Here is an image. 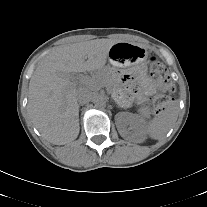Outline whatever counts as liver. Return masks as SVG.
<instances>
[{
    "label": "liver",
    "mask_w": 207,
    "mask_h": 207,
    "mask_svg": "<svg viewBox=\"0 0 207 207\" xmlns=\"http://www.w3.org/2000/svg\"><path fill=\"white\" fill-rule=\"evenodd\" d=\"M116 43L111 39H95L60 46L38 63L29 83L27 110L46 141L63 145L78 137L77 91L91 87L83 82L77 87L71 80L72 74L103 69Z\"/></svg>",
    "instance_id": "1"
}]
</instances>
